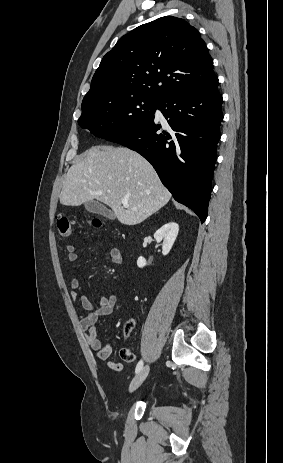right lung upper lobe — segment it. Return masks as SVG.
<instances>
[{"label": "right lung upper lobe", "mask_w": 283, "mask_h": 463, "mask_svg": "<svg viewBox=\"0 0 283 463\" xmlns=\"http://www.w3.org/2000/svg\"><path fill=\"white\" fill-rule=\"evenodd\" d=\"M217 76L198 30L165 16L124 35L102 59L82 105L110 95H140L157 101Z\"/></svg>", "instance_id": "right-lung-upper-lobe-1"}]
</instances>
